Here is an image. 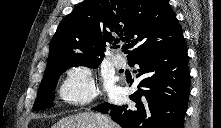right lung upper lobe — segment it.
I'll list each match as a JSON object with an SVG mask.
<instances>
[{
    "instance_id": "1",
    "label": "right lung upper lobe",
    "mask_w": 221,
    "mask_h": 128,
    "mask_svg": "<svg viewBox=\"0 0 221 128\" xmlns=\"http://www.w3.org/2000/svg\"><path fill=\"white\" fill-rule=\"evenodd\" d=\"M182 38L167 0H85L59 24L47 66L72 59L102 60L106 44L119 41L130 61Z\"/></svg>"
}]
</instances>
